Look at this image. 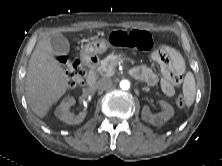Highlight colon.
Segmentation results:
<instances>
[{
  "label": "colon",
  "mask_w": 222,
  "mask_h": 166,
  "mask_svg": "<svg viewBox=\"0 0 222 166\" xmlns=\"http://www.w3.org/2000/svg\"><path fill=\"white\" fill-rule=\"evenodd\" d=\"M109 40L115 46L141 50H148L153 45L151 34L141 30L116 31L110 35ZM60 62L65 68L71 87H76L84 83L86 70L79 61L70 60L68 57L63 56L60 58ZM176 104L179 108H183L185 102L182 97H179L176 100Z\"/></svg>",
  "instance_id": "colon-1"
}]
</instances>
